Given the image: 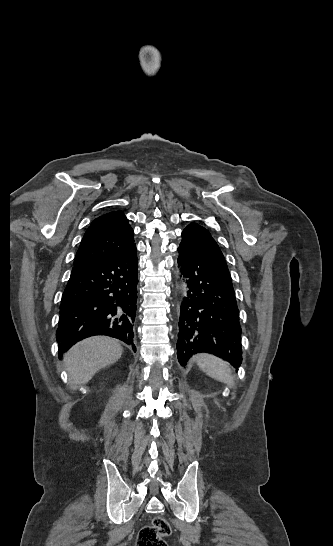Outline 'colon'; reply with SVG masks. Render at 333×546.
<instances>
[{"mask_svg": "<svg viewBox=\"0 0 333 546\" xmlns=\"http://www.w3.org/2000/svg\"><path fill=\"white\" fill-rule=\"evenodd\" d=\"M171 532L169 523L163 517H155L152 525L143 527L137 536V546H167L164 540Z\"/></svg>", "mask_w": 333, "mask_h": 546, "instance_id": "1", "label": "colon"}]
</instances>
